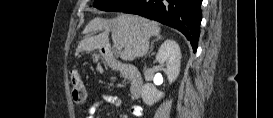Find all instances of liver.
I'll return each instance as SVG.
<instances>
[{
	"label": "liver",
	"instance_id": "1",
	"mask_svg": "<svg viewBox=\"0 0 273 118\" xmlns=\"http://www.w3.org/2000/svg\"><path fill=\"white\" fill-rule=\"evenodd\" d=\"M103 31L99 35H86L78 44L77 51H93L109 47V32L124 50L120 58L132 61L144 56L149 49V39L159 36L160 26L157 22L133 15H119L112 19L94 18L85 28V32Z\"/></svg>",
	"mask_w": 273,
	"mask_h": 118
}]
</instances>
